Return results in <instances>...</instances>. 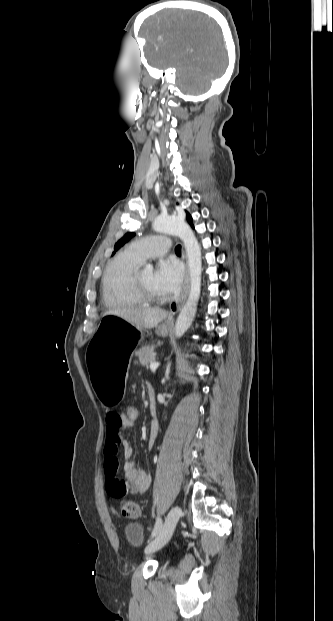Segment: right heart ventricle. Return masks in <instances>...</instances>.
<instances>
[{
  "label": "right heart ventricle",
  "instance_id": "1",
  "mask_svg": "<svg viewBox=\"0 0 333 621\" xmlns=\"http://www.w3.org/2000/svg\"><path fill=\"white\" fill-rule=\"evenodd\" d=\"M141 262L128 252L116 256L109 264L102 280V298L109 307L142 304L133 292L131 281Z\"/></svg>",
  "mask_w": 333,
  "mask_h": 621
}]
</instances>
